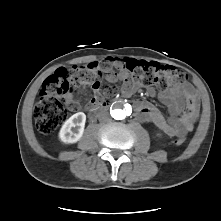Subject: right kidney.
<instances>
[{
    "label": "right kidney",
    "instance_id": "obj_1",
    "mask_svg": "<svg viewBox=\"0 0 221 221\" xmlns=\"http://www.w3.org/2000/svg\"><path fill=\"white\" fill-rule=\"evenodd\" d=\"M86 115L78 112L67 119L59 132V139L64 143H76L83 135Z\"/></svg>",
    "mask_w": 221,
    "mask_h": 221
}]
</instances>
